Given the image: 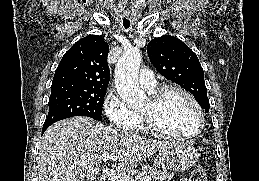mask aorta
<instances>
[{
    "instance_id": "762f6f07",
    "label": "aorta",
    "mask_w": 259,
    "mask_h": 181,
    "mask_svg": "<svg viewBox=\"0 0 259 181\" xmlns=\"http://www.w3.org/2000/svg\"><path fill=\"white\" fill-rule=\"evenodd\" d=\"M141 52L137 47L123 51L115 68V86L120 97L129 108L141 107L147 99L139 87L138 71L141 64Z\"/></svg>"
}]
</instances>
